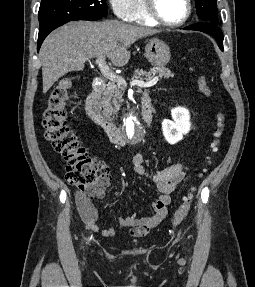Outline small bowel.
<instances>
[{
  "instance_id": "small-bowel-1",
  "label": "small bowel",
  "mask_w": 255,
  "mask_h": 287,
  "mask_svg": "<svg viewBox=\"0 0 255 287\" xmlns=\"http://www.w3.org/2000/svg\"><path fill=\"white\" fill-rule=\"evenodd\" d=\"M133 168L136 174L148 179L159 191V196L153 202V213L148 217H139L136 214L118 216V222L123 227L130 228L133 236H142L151 229L160 225L168 214L172 193L181 184L185 177L184 165L181 162L165 167L149 176L144 167L143 154L138 152L133 157ZM111 175L105 166L101 167V175L98 183L86 194L76 191V202L81 219L86 226L100 232L104 237H114L117 233L115 228L101 229L98 224V212L92 203L94 197L103 198L105 190L109 186Z\"/></svg>"
}]
</instances>
